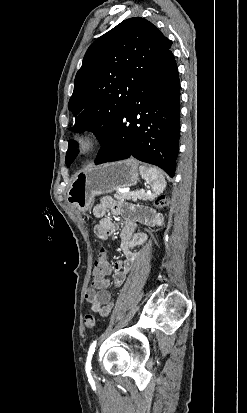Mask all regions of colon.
Listing matches in <instances>:
<instances>
[{"instance_id": "1", "label": "colon", "mask_w": 247, "mask_h": 413, "mask_svg": "<svg viewBox=\"0 0 247 413\" xmlns=\"http://www.w3.org/2000/svg\"><path fill=\"white\" fill-rule=\"evenodd\" d=\"M156 204H160L161 207H167L170 204V201L167 197L165 196H160L156 200ZM95 240L99 239L98 235L94 236ZM109 258V253L105 248H102L100 252L98 253V259H95L92 261V274L95 276L102 275V276H107L109 274V262L107 259ZM84 325L85 328L88 330H93L96 326V319L95 317L90 314L86 313L84 315Z\"/></svg>"}]
</instances>
